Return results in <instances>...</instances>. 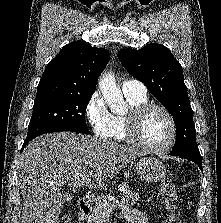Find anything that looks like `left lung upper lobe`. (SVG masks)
Masks as SVG:
<instances>
[{"label": "left lung upper lobe", "mask_w": 221, "mask_h": 223, "mask_svg": "<svg viewBox=\"0 0 221 223\" xmlns=\"http://www.w3.org/2000/svg\"><path fill=\"white\" fill-rule=\"evenodd\" d=\"M118 58L174 117L176 141L170 155L200 156L182 68L171 51L161 44H149L140 50L122 49Z\"/></svg>", "instance_id": "obj_1"}]
</instances>
